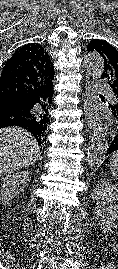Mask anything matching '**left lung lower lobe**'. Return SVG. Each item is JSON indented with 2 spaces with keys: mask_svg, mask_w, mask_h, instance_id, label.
I'll use <instances>...</instances> for the list:
<instances>
[{
  "mask_svg": "<svg viewBox=\"0 0 118 269\" xmlns=\"http://www.w3.org/2000/svg\"><path fill=\"white\" fill-rule=\"evenodd\" d=\"M111 108L113 110L114 116L118 119V106L111 107ZM109 142H110V140H109ZM114 151H118V130H116L115 137L113 138V140L111 141V143L108 144L107 154H111Z\"/></svg>",
  "mask_w": 118,
  "mask_h": 269,
  "instance_id": "left-lung-lower-lobe-1",
  "label": "left lung lower lobe"
}]
</instances>
